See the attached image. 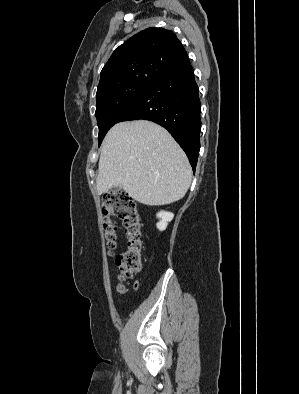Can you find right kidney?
Segmentation results:
<instances>
[{
	"label": "right kidney",
	"mask_w": 299,
	"mask_h": 394,
	"mask_svg": "<svg viewBox=\"0 0 299 394\" xmlns=\"http://www.w3.org/2000/svg\"><path fill=\"white\" fill-rule=\"evenodd\" d=\"M173 217L174 214L170 212L160 211L159 213H157V218L160 219V221L156 224L157 228L160 231H164L167 228L168 223L173 219Z\"/></svg>",
	"instance_id": "obj_1"
}]
</instances>
